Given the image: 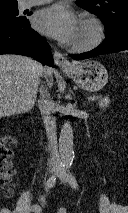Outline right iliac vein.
Instances as JSON below:
<instances>
[{
	"mask_svg": "<svg viewBox=\"0 0 128 213\" xmlns=\"http://www.w3.org/2000/svg\"><path fill=\"white\" fill-rule=\"evenodd\" d=\"M57 171H58L57 167H52V168L49 169L50 174L57 173Z\"/></svg>",
	"mask_w": 128,
	"mask_h": 213,
	"instance_id": "1",
	"label": "right iliac vein"
}]
</instances>
